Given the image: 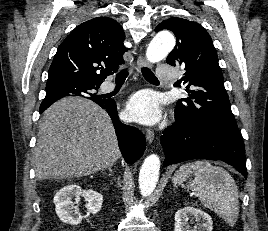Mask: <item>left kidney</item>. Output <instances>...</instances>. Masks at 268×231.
I'll return each mask as SVG.
<instances>
[{"label":"left kidney","instance_id":"5707ae66","mask_svg":"<svg viewBox=\"0 0 268 231\" xmlns=\"http://www.w3.org/2000/svg\"><path fill=\"white\" fill-rule=\"evenodd\" d=\"M194 221L197 222L195 226ZM213 221L210 215L192 206L184 207L175 213L174 231H212Z\"/></svg>","mask_w":268,"mask_h":231}]
</instances>
